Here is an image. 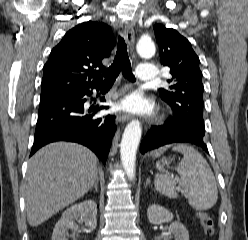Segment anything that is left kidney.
I'll return each mask as SVG.
<instances>
[{"instance_id":"obj_1","label":"left kidney","mask_w":248,"mask_h":240,"mask_svg":"<svg viewBox=\"0 0 248 240\" xmlns=\"http://www.w3.org/2000/svg\"><path fill=\"white\" fill-rule=\"evenodd\" d=\"M147 214L151 224L170 222L173 219V214L170 211L156 204L148 207ZM169 234L173 235L175 240H189V233L186 227L178 221L170 224Z\"/></svg>"}]
</instances>
